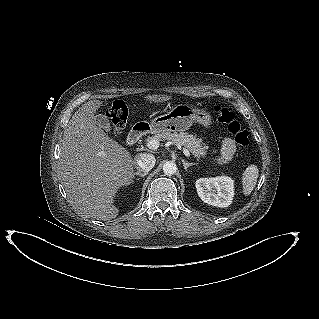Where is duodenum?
I'll use <instances>...</instances> for the list:
<instances>
[{
	"mask_svg": "<svg viewBox=\"0 0 319 319\" xmlns=\"http://www.w3.org/2000/svg\"><path fill=\"white\" fill-rule=\"evenodd\" d=\"M150 130V127L148 124H138L135 125L129 132L127 136V145L134 146L139 139Z\"/></svg>",
	"mask_w": 319,
	"mask_h": 319,
	"instance_id": "1",
	"label": "duodenum"
}]
</instances>
